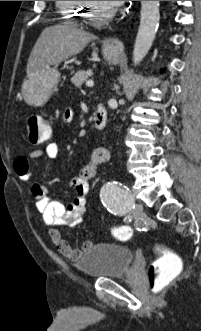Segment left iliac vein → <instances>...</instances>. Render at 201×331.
Here are the masks:
<instances>
[{
    "label": "left iliac vein",
    "instance_id": "obj_1",
    "mask_svg": "<svg viewBox=\"0 0 201 331\" xmlns=\"http://www.w3.org/2000/svg\"><path fill=\"white\" fill-rule=\"evenodd\" d=\"M142 211H143V206H142V204H141V203H137V204L134 206L133 213H134L135 215H139V214L142 213Z\"/></svg>",
    "mask_w": 201,
    "mask_h": 331
}]
</instances>
